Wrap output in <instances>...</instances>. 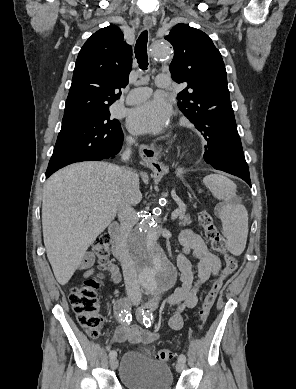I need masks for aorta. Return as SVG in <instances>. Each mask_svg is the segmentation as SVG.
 Masks as SVG:
<instances>
[{"mask_svg":"<svg viewBox=\"0 0 296 389\" xmlns=\"http://www.w3.org/2000/svg\"><path fill=\"white\" fill-rule=\"evenodd\" d=\"M149 59L151 62H170L172 52L168 43L161 41L154 44ZM128 248L143 289L156 294L174 285L176 270L160 245L159 225L151 215L144 216L134 229Z\"/></svg>","mask_w":296,"mask_h":389,"instance_id":"1","label":"aorta"}]
</instances>
